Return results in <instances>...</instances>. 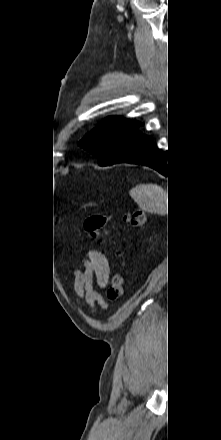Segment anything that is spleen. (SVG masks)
Returning <instances> with one entry per match:
<instances>
[{
	"mask_svg": "<svg viewBox=\"0 0 221 440\" xmlns=\"http://www.w3.org/2000/svg\"><path fill=\"white\" fill-rule=\"evenodd\" d=\"M139 208L148 213L164 214L167 211V192L157 184H139L129 191Z\"/></svg>",
	"mask_w": 221,
	"mask_h": 440,
	"instance_id": "3e777b00",
	"label": "spleen"
}]
</instances>
